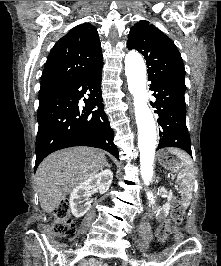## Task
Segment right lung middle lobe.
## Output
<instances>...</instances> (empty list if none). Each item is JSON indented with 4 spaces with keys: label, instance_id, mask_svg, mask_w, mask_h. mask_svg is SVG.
<instances>
[{
    "label": "right lung middle lobe",
    "instance_id": "right-lung-middle-lobe-1",
    "mask_svg": "<svg viewBox=\"0 0 221 266\" xmlns=\"http://www.w3.org/2000/svg\"><path fill=\"white\" fill-rule=\"evenodd\" d=\"M58 87L55 86H42L39 91V98L43 97L44 95L48 94L49 92L53 91Z\"/></svg>",
    "mask_w": 221,
    "mask_h": 266
}]
</instances>
